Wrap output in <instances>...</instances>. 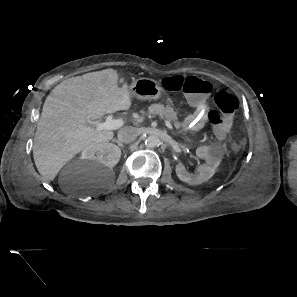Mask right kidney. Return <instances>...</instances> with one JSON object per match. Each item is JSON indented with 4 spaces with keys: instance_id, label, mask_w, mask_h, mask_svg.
I'll return each mask as SVG.
<instances>
[{
    "instance_id": "ca27d5eb",
    "label": "right kidney",
    "mask_w": 297,
    "mask_h": 297,
    "mask_svg": "<svg viewBox=\"0 0 297 297\" xmlns=\"http://www.w3.org/2000/svg\"><path fill=\"white\" fill-rule=\"evenodd\" d=\"M121 150L112 143L94 144L83 149L81 159L92 162L94 165H104L113 168L119 161Z\"/></svg>"
}]
</instances>
